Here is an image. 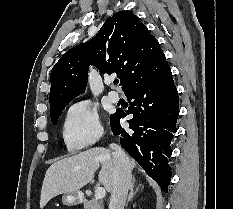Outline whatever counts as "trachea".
<instances>
[{"label":"trachea","mask_w":233,"mask_h":209,"mask_svg":"<svg viewBox=\"0 0 233 209\" xmlns=\"http://www.w3.org/2000/svg\"><path fill=\"white\" fill-rule=\"evenodd\" d=\"M113 83L117 85L119 83V80H114Z\"/></svg>","instance_id":"trachea-1"}]
</instances>
